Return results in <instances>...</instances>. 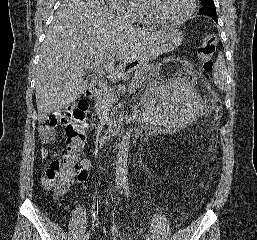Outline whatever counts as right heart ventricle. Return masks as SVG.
Wrapping results in <instances>:
<instances>
[{"label": "right heart ventricle", "instance_id": "right-heart-ventricle-1", "mask_svg": "<svg viewBox=\"0 0 257 240\" xmlns=\"http://www.w3.org/2000/svg\"><path fill=\"white\" fill-rule=\"evenodd\" d=\"M132 4L137 12L136 22L145 27H155L158 25V23L149 15L145 0H134Z\"/></svg>", "mask_w": 257, "mask_h": 240}]
</instances>
